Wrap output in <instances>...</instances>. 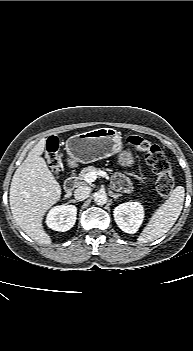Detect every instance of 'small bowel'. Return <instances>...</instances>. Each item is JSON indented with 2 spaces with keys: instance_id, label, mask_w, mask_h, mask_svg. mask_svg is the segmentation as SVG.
<instances>
[{
  "instance_id": "c3829d8e",
  "label": "small bowel",
  "mask_w": 193,
  "mask_h": 351,
  "mask_svg": "<svg viewBox=\"0 0 193 351\" xmlns=\"http://www.w3.org/2000/svg\"><path fill=\"white\" fill-rule=\"evenodd\" d=\"M114 184L117 186H121L124 189L128 188V184L125 181L124 177L121 174H116L114 176Z\"/></svg>"
}]
</instances>
